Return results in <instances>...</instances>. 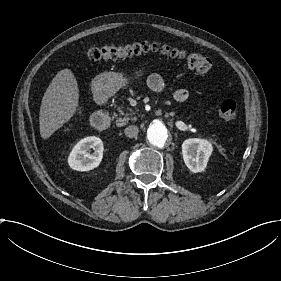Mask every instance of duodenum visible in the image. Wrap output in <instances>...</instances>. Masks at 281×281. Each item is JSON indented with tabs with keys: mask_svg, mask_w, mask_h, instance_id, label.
Returning <instances> with one entry per match:
<instances>
[{
	"mask_svg": "<svg viewBox=\"0 0 281 281\" xmlns=\"http://www.w3.org/2000/svg\"><path fill=\"white\" fill-rule=\"evenodd\" d=\"M94 99L98 105H103L108 99V94L104 90H98L95 92ZM91 122L96 129L105 131L110 127L111 118L105 111L98 110L92 115Z\"/></svg>",
	"mask_w": 281,
	"mask_h": 281,
	"instance_id": "obj_1",
	"label": "duodenum"
}]
</instances>
